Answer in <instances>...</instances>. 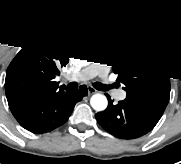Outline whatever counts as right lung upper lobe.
Returning <instances> with one entry per match:
<instances>
[{
    "label": "right lung upper lobe",
    "instance_id": "1",
    "mask_svg": "<svg viewBox=\"0 0 181 164\" xmlns=\"http://www.w3.org/2000/svg\"><path fill=\"white\" fill-rule=\"evenodd\" d=\"M85 30H52L27 43L6 71L5 92L8 104L21 99H47L66 89L54 81L57 66L69 62L71 48L90 41Z\"/></svg>",
    "mask_w": 181,
    "mask_h": 164
}]
</instances>
